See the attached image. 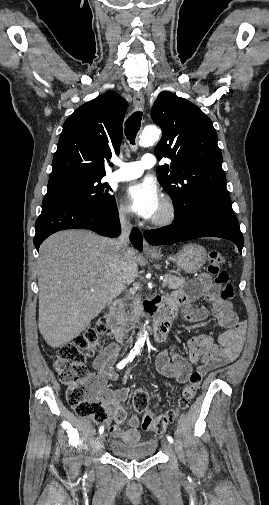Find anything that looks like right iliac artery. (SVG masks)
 Listing matches in <instances>:
<instances>
[{
    "label": "right iliac artery",
    "instance_id": "obj_1",
    "mask_svg": "<svg viewBox=\"0 0 269 505\" xmlns=\"http://www.w3.org/2000/svg\"><path fill=\"white\" fill-rule=\"evenodd\" d=\"M135 356H136V352L131 351V352L129 353V355H128L125 359H123L121 362H119V363L117 364V366H116V367H117L118 369H122V368H124V367H125L128 363H130V362H132V361H133V359L135 358ZM103 432H104V426H101V427L99 428V434H102Z\"/></svg>",
    "mask_w": 269,
    "mask_h": 505
}]
</instances>
